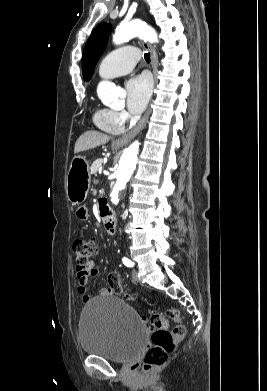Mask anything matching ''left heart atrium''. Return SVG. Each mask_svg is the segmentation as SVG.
<instances>
[{"instance_id": "left-heart-atrium-1", "label": "left heart atrium", "mask_w": 267, "mask_h": 391, "mask_svg": "<svg viewBox=\"0 0 267 391\" xmlns=\"http://www.w3.org/2000/svg\"><path fill=\"white\" fill-rule=\"evenodd\" d=\"M127 108L132 114H140L146 107L152 90L147 75H138L126 82Z\"/></svg>"}]
</instances>
